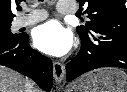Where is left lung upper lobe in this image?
<instances>
[{
  "label": "left lung upper lobe",
  "mask_w": 127,
  "mask_h": 92,
  "mask_svg": "<svg viewBox=\"0 0 127 92\" xmlns=\"http://www.w3.org/2000/svg\"><path fill=\"white\" fill-rule=\"evenodd\" d=\"M86 8L89 21L77 26L79 36H86L98 28H127L125 0H77ZM83 10V8H82Z\"/></svg>",
  "instance_id": "obj_1"
}]
</instances>
